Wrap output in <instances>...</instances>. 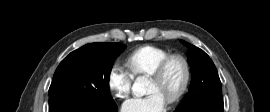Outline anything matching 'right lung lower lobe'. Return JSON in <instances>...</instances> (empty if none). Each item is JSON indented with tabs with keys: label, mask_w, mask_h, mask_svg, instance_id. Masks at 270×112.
<instances>
[{
	"label": "right lung lower lobe",
	"mask_w": 270,
	"mask_h": 112,
	"mask_svg": "<svg viewBox=\"0 0 270 112\" xmlns=\"http://www.w3.org/2000/svg\"><path fill=\"white\" fill-rule=\"evenodd\" d=\"M49 112H118V107L116 104L112 106H102L89 99L80 98L50 105Z\"/></svg>",
	"instance_id": "obj_1"
}]
</instances>
